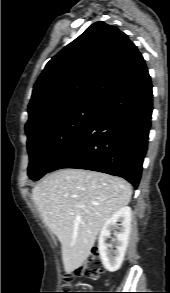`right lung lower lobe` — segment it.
I'll return each mask as SVG.
<instances>
[{
    "label": "right lung lower lobe",
    "mask_w": 170,
    "mask_h": 293,
    "mask_svg": "<svg viewBox=\"0 0 170 293\" xmlns=\"http://www.w3.org/2000/svg\"><path fill=\"white\" fill-rule=\"evenodd\" d=\"M152 84L147 73L100 104L94 121L50 166L119 176L135 188L141 178L152 115Z\"/></svg>",
    "instance_id": "right-lung-lower-lobe-1"
}]
</instances>
